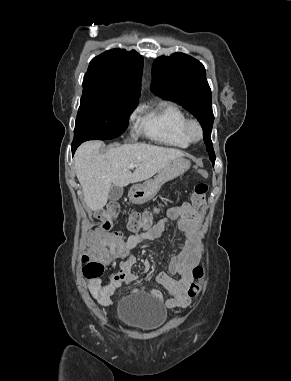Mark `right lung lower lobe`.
<instances>
[{
  "label": "right lung lower lobe",
  "instance_id": "98d812e1",
  "mask_svg": "<svg viewBox=\"0 0 291 381\" xmlns=\"http://www.w3.org/2000/svg\"><path fill=\"white\" fill-rule=\"evenodd\" d=\"M80 144H74L72 143V155L74 154L75 150L77 149V147L79 146Z\"/></svg>",
  "mask_w": 291,
  "mask_h": 381
}]
</instances>
